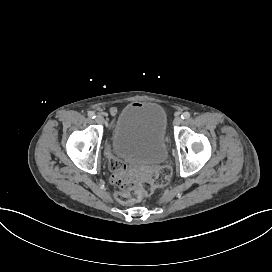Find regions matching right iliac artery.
<instances>
[{
	"instance_id": "1",
	"label": "right iliac artery",
	"mask_w": 272,
	"mask_h": 272,
	"mask_svg": "<svg viewBox=\"0 0 272 272\" xmlns=\"http://www.w3.org/2000/svg\"><path fill=\"white\" fill-rule=\"evenodd\" d=\"M88 116L90 117V118H95L96 116H95V113L93 112V111H89L88 112Z\"/></svg>"
}]
</instances>
